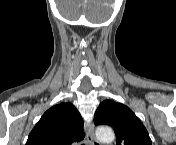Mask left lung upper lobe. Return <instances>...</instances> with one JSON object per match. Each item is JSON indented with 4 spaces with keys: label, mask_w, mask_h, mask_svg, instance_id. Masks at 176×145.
<instances>
[{
    "label": "left lung upper lobe",
    "mask_w": 176,
    "mask_h": 145,
    "mask_svg": "<svg viewBox=\"0 0 176 145\" xmlns=\"http://www.w3.org/2000/svg\"><path fill=\"white\" fill-rule=\"evenodd\" d=\"M94 123L113 127L117 145H152L140 119L121 103L103 101L95 112Z\"/></svg>",
    "instance_id": "5c2ea615"
}]
</instances>
